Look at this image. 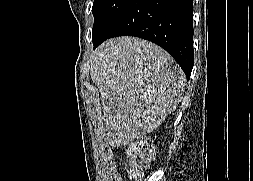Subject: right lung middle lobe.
<instances>
[{
    "label": "right lung middle lobe",
    "mask_w": 253,
    "mask_h": 181,
    "mask_svg": "<svg viewBox=\"0 0 253 181\" xmlns=\"http://www.w3.org/2000/svg\"><path fill=\"white\" fill-rule=\"evenodd\" d=\"M132 0H94L92 36L101 34Z\"/></svg>",
    "instance_id": "1"
}]
</instances>
